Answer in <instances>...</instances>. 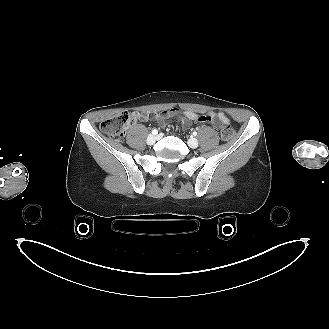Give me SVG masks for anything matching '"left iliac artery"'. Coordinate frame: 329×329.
I'll list each match as a JSON object with an SVG mask.
<instances>
[{
  "mask_svg": "<svg viewBox=\"0 0 329 329\" xmlns=\"http://www.w3.org/2000/svg\"><path fill=\"white\" fill-rule=\"evenodd\" d=\"M193 135H194V136H196V135H197V132H196V131H194V132H193Z\"/></svg>",
  "mask_w": 329,
  "mask_h": 329,
  "instance_id": "left-iliac-artery-1",
  "label": "left iliac artery"
}]
</instances>
